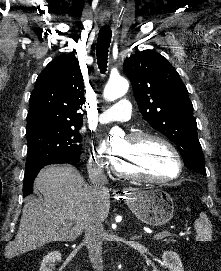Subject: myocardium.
<instances>
[{
	"label": "myocardium",
	"mask_w": 221,
	"mask_h": 271,
	"mask_svg": "<svg viewBox=\"0 0 221 271\" xmlns=\"http://www.w3.org/2000/svg\"><path fill=\"white\" fill-rule=\"evenodd\" d=\"M172 140L171 138L167 137L166 135H163L161 133H158L153 130L145 131L142 133H131V137L127 138V141L130 142V145H140L142 142H156V145H161L162 147H165L166 150H169V155H171V164H173V169L176 170L173 174L168 176H152L149 175H142V173H125L124 170H120V163H117L116 158H109V171H114L115 176H119V179H132V178H147V183H153V184H164L168 183V178H179L183 170V165H178L179 160L178 159V151L174 150L172 143L170 142ZM137 168V167H136Z\"/></svg>",
	"instance_id": "obj_1"
}]
</instances>
